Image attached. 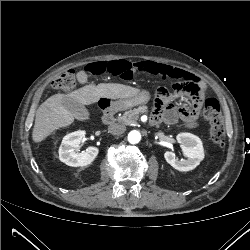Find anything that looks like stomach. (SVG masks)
I'll use <instances>...</instances> for the list:
<instances>
[{"instance_id": "stomach-1", "label": "stomach", "mask_w": 250, "mask_h": 250, "mask_svg": "<svg viewBox=\"0 0 250 250\" xmlns=\"http://www.w3.org/2000/svg\"><path fill=\"white\" fill-rule=\"evenodd\" d=\"M150 100V93L148 91H141L138 94L128 97V98H122L118 101H116V105L119 108H131L137 105L146 104Z\"/></svg>"}]
</instances>
